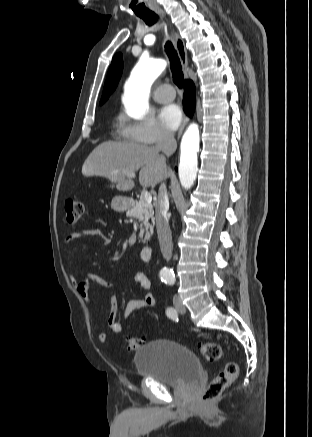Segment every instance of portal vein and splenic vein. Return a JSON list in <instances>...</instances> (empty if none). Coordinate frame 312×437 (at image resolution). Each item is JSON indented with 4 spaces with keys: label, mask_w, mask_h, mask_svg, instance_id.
<instances>
[{
    "label": "portal vein and splenic vein",
    "mask_w": 312,
    "mask_h": 437,
    "mask_svg": "<svg viewBox=\"0 0 312 437\" xmlns=\"http://www.w3.org/2000/svg\"><path fill=\"white\" fill-rule=\"evenodd\" d=\"M130 178H135V173L134 172H130L127 174ZM141 197L147 202V203H151L152 202V196L148 191H142L141 192Z\"/></svg>",
    "instance_id": "18ae733b"
}]
</instances>
